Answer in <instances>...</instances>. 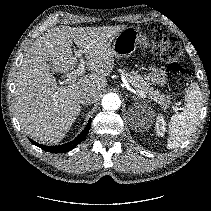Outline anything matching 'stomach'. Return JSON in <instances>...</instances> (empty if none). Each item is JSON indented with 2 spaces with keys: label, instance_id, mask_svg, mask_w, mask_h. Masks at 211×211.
Here are the masks:
<instances>
[{
  "label": "stomach",
  "instance_id": "0dacf381",
  "mask_svg": "<svg viewBox=\"0 0 211 211\" xmlns=\"http://www.w3.org/2000/svg\"><path fill=\"white\" fill-rule=\"evenodd\" d=\"M140 45L143 49L149 46L146 37L135 27L122 29L114 39L111 49L115 58H126L130 56Z\"/></svg>",
  "mask_w": 211,
  "mask_h": 211
}]
</instances>
